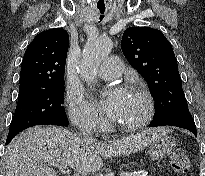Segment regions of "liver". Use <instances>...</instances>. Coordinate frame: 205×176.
<instances>
[{
    "mask_svg": "<svg viewBox=\"0 0 205 176\" xmlns=\"http://www.w3.org/2000/svg\"><path fill=\"white\" fill-rule=\"evenodd\" d=\"M165 128L147 129L113 142H87L58 127H35L20 133L6 148V176H57L49 163H65L82 173L102 168L101 157L129 155L143 150Z\"/></svg>",
    "mask_w": 205,
    "mask_h": 176,
    "instance_id": "liver-1",
    "label": "liver"
}]
</instances>
